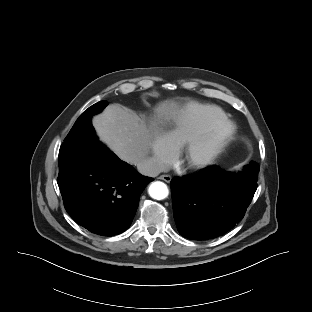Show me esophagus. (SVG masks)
<instances>
[{"mask_svg":"<svg viewBox=\"0 0 312 312\" xmlns=\"http://www.w3.org/2000/svg\"><path fill=\"white\" fill-rule=\"evenodd\" d=\"M159 179H161V180H163V181L169 183V182L171 181L172 178H171L170 175H161V176H159Z\"/></svg>","mask_w":312,"mask_h":312,"instance_id":"1","label":"esophagus"}]
</instances>
